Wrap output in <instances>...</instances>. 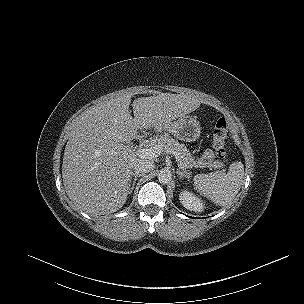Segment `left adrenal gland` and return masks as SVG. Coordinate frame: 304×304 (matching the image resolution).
<instances>
[{"label": "left adrenal gland", "instance_id": "a2214340", "mask_svg": "<svg viewBox=\"0 0 304 304\" xmlns=\"http://www.w3.org/2000/svg\"><path fill=\"white\" fill-rule=\"evenodd\" d=\"M176 173L178 174L179 179H183V178L189 179V174H190V173H188L186 170L181 171V170L177 169V170H176Z\"/></svg>", "mask_w": 304, "mask_h": 304}]
</instances>
